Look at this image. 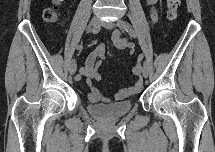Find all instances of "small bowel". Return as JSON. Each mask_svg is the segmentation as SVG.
Here are the masks:
<instances>
[{
    "label": "small bowel",
    "mask_w": 215,
    "mask_h": 152,
    "mask_svg": "<svg viewBox=\"0 0 215 152\" xmlns=\"http://www.w3.org/2000/svg\"><path fill=\"white\" fill-rule=\"evenodd\" d=\"M147 5L151 7L150 17L151 21L155 23L158 19L157 9L155 8V0H147ZM111 40L115 47L120 50H128L131 54L134 53L132 43L126 41L119 31H115L111 34ZM106 59L105 45L100 43L95 49L87 56L85 63L79 69V74L76 76V80L81 78L85 79L86 85L89 89L88 98L91 102L107 103L109 99L105 97L95 86V82L101 80V66ZM142 88L141 81L135 82L133 85L121 88L116 98L123 100L131 95L137 94Z\"/></svg>",
    "instance_id": "c3829d8e"
}]
</instances>
